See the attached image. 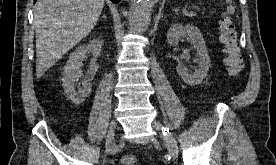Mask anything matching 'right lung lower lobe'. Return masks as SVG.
<instances>
[{
  "label": "right lung lower lobe",
  "instance_id": "98d812e1",
  "mask_svg": "<svg viewBox=\"0 0 276 165\" xmlns=\"http://www.w3.org/2000/svg\"><path fill=\"white\" fill-rule=\"evenodd\" d=\"M114 3H119L121 0H111ZM34 2H36V0H34Z\"/></svg>",
  "mask_w": 276,
  "mask_h": 165
}]
</instances>
